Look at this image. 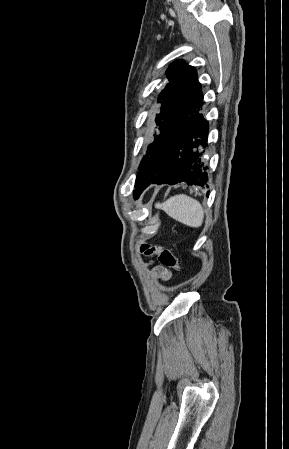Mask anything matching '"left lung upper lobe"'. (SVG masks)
I'll return each instance as SVG.
<instances>
[{"mask_svg": "<svg viewBox=\"0 0 289 449\" xmlns=\"http://www.w3.org/2000/svg\"><path fill=\"white\" fill-rule=\"evenodd\" d=\"M166 73L169 82L158 99L162 105L156 116L161 133L148 146L139 166L135 188L159 173L165 158L166 141L191 118L203 99L194 67L178 60L169 66Z\"/></svg>", "mask_w": 289, "mask_h": 449, "instance_id": "obj_1", "label": "left lung upper lobe"}]
</instances>
